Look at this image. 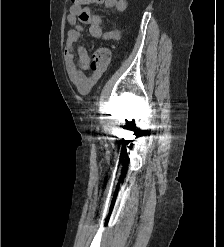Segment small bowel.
Masks as SVG:
<instances>
[{"mask_svg": "<svg viewBox=\"0 0 224 247\" xmlns=\"http://www.w3.org/2000/svg\"><path fill=\"white\" fill-rule=\"evenodd\" d=\"M83 5H71L67 21L73 26L67 34L64 47L67 73L70 81L81 94H87L98 82L103 72L92 71L89 75L85 72L90 68V57L85 48L78 45L83 36L84 27L88 26L89 34L94 38L118 39L119 31L106 32L102 28L101 18L94 14L89 5L103 4L110 13H123L127 9L126 0H83Z\"/></svg>", "mask_w": 224, "mask_h": 247, "instance_id": "c3829d8e", "label": "small bowel"}]
</instances>
